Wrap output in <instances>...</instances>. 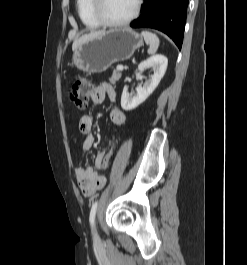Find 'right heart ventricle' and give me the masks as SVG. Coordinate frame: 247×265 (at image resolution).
I'll list each match as a JSON object with an SVG mask.
<instances>
[{
    "instance_id": "e07e8e85",
    "label": "right heart ventricle",
    "mask_w": 247,
    "mask_h": 265,
    "mask_svg": "<svg viewBox=\"0 0 247 265\" xmlns=\"http://www.w3.org/2000/svg\"><path fill=\"white\" fill-rule=\"evenodd\" d=\"M92 0H76L77 12L82 23L89 29H96L101 24L95 19L92 9Z\"/></svg>"
}]
</instances>
